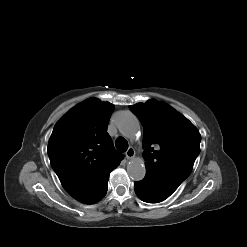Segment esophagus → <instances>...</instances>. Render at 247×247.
I'll return each mask as SVG.
<instances>
[{
  "label": "esophagus",
  "mask_w": 247,
  "mask_h": 247,
  "mask_svg": "<svg viewBox=\"0 0 247 247\" xmlns=\"http://www.w3.org/2000/svg\"><path fill=\"white\" fill-rule=\"evenodd\" d=\"M126 158L127 159H132L135 156V150L130 147L128 150L125 152Z\"/></svg>",
  "instance_id": "34e87169"
}]
</instances>
